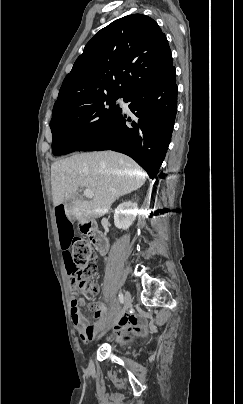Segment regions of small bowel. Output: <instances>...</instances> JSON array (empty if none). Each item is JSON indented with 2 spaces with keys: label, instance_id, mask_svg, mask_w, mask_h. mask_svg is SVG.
I'll return each instance as SVG.
<instances>
[{
  "label": "small bowel",
  "instance_id": "c3829d8e",
  "mask_svg": "<svg viewBox=\"0 0 243 404\" xmlns=\"http://www.w3.org/2000/svg\"><path fill=\"white\" fill-rule=\"evenodd\" d=\"M56 224L59 232L60 245L63 250L62 256L69 274L73 275V263L72 253L69 251V247L73 239V227L71 222L67 219L65 210L62 205H58L55 208ZM74 282V281H73ZM84 304V299L73 298L71 301V317L72 321L77 328L80 337L83 341L88 342L93 338L96 333L97 327L102 320V306L100 304L91 305V308L95 311L94 321H88L80 311V306ZM116 332L122 333L125 331L135 333H145L147 331V325L140 320L137 316L129 314L121 316L115 320Z\"/></svg>",
  "mask_w": 243,
  "mask_h": 404
}]
</instances>
